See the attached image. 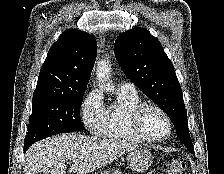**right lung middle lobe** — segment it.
Here are the masks:
<instances>
[{"instance_id": "obj_1", "label": "right lung middle lobe", "mask_w": 224, "mask_h": 174, "mask_svg": "<svg viewBox=\"0 0 224 174\" xmlns=\"http://www.w3.org/2000/svg\"><path fill=\"white\" fill-rule=\"evenodd\" d=\"M82 98L83 93L33 97L25 145L55 134L83 130L84 126L80 120Z\"/></svg>"}]
</instances>
